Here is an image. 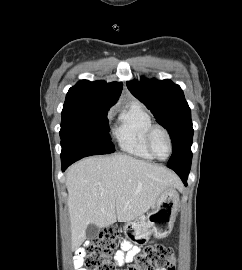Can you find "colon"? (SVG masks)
<instances>
[{
    "mask_svg": "<svg viewBox=\"0 0 242 270\" xmlns=\"http://www.w3.org/2000/svg\"><path fill=\"white\" fill-rule=\"evenodd\" d=\"M120 241V230L116 226L105 228L88 246L84 265L87 270H119L112 255ZM167 267L175 270L176 256L173 250L162 244L146 246L136 254L133 262L125 270H155Z\"/></svg>",
    "mask_w": 242,
    "mask_h": 270,
    "instance_id": "colon-1",
    "label": "colon"
}]
</instances>
